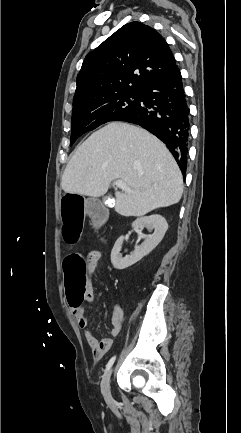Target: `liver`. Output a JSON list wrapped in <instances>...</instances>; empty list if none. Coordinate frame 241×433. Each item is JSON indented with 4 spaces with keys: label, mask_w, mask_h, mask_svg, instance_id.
I'll list each match as a JSON object with an SVG mask.
<instances>
[{
    "label": "liver",
    "mask_w": 241,
    "mask_h": 433,
    "mask_svg": "<svg viewBox=\"0 0 241 433\" xmlns=\"http://www.w3.org/2000/svg\"><path fill=\"white\" fill-rule=\"evenodd\" d=\"M113 180L133 191L115 193V211L126 217L176 204L183 193L181 171L167 147L127 123H109L83 142L65 168L61 187L66 193L99 197Z\"/></svg>",
    "instance_id": "6515ba94"
}]
</instances>
